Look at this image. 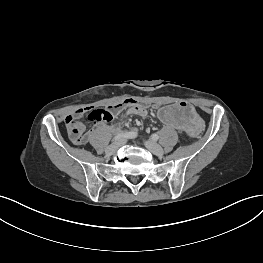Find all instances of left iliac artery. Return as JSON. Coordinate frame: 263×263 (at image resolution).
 <instances>
[{"instance_id":"1","label":"left iliac artery","mask_w":263,"mask_h":263,"mask_svg":"<svg viewBox=\"0 0 263 263\" xmlns=\"http://www.w3.org/2000/svg\"><path fill=\"white\" fill-rule=\"evenodd\" d=\"M152 139L154 140V141H157L158 139H159V136H158V134H153L152 135Z\"/></svg>"}]
</instances>
